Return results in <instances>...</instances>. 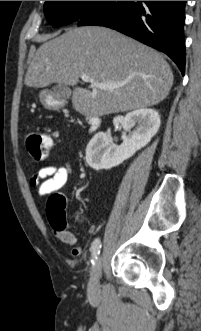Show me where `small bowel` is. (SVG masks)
Listing matches in <instances>:
<instances>
[{"instance_id":"small-bowel-1","label":"small bowel","mask_w":201,"mask_h":331,"mask_svg":"<svg viewBox=\"0 0 201 331\" xmlns=\"http://www.w3.org/2000/svg\"><path fill=\"white\" fill-rule=\"evenodd\" d=\"M71 168L65 166L47 165L40 168L30 179V185L37 188L40 196L56 194L67 183ZM56 237L66 245L72 247L73 255H80L82 249L77 246L76 235L63 227H54Z\"/></svg>"}]
</instances>
